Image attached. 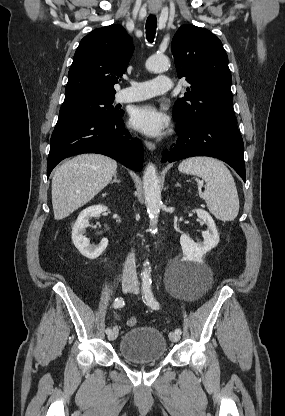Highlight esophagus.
<instances>
[{"mask_svg":"<svg viewBox=\"0 0 285 416\" xmlns=\"http://www.w3.org/2000/svg\"><path fill=\"white\" fill-rule=\"evenodd\" d=\"M152 13H156V12H152ZM144 144L146 145V147L148 148L149 151H154L155 148H156L155 143H153L151 141L145 140Z\"/></svg>","mask_w":285,"mask_h":416,"instance_id":"34e87169","label":"esophagus"}]
</instances>
